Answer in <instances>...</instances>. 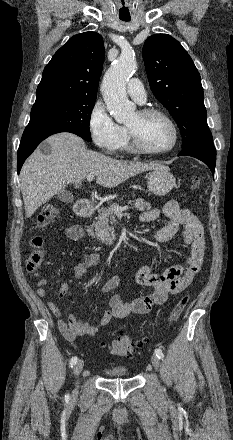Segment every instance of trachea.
I'll return each instance as SVG.
<instances>
[{"label": "trachea", "instance_id": "1", "mask_svg": "<svg viewBox=\"0 0 233 440\" xmlns=\"http://www.w3.org/2000/svg\"><path fill=\"white\" fill-rule=\"evenodd\" d=\"M122 20L128 22L130 19H122Z\"/></svg>", "mask_w": 233, "mask_h": 440}]
</instances>
